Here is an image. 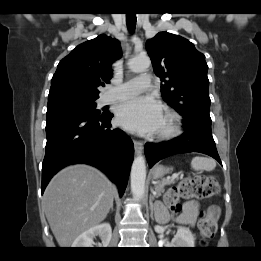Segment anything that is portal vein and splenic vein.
I'll use <instances>...</instances> for the list:
<instances>
[{
	"instance_id": "obj_1",
	"label": "portal vein and splenic vein",
	"mask_w": 261,
	"mask_h": 261,
	"mask_svg": "<svg viewBox=\"0 0 261 261\" xmlns=\"http://www.w3.org/2000/svg\"><path fill=\"white\" fill-rule=\"evenodd\" d=\"M178 177V174H173L171 177V181H173L174 179H176Z\"/></svg>"
}]
</instances>
